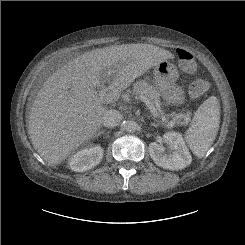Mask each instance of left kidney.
Returning <instances> with one entry per match:
<instances>
[{
	"instance_id": "1",
	"label": "left kidney",
	"mask_w": 245,
	"mask_h": 245,
	"mask_svg": "<svg viewBox=\"0 0 245 245\" xmlns=\"http://www.w3.org/2000/svg\"><path fill=\"white\" fill-rule=\"evenodd\" d=\"M165 143L172 153L165 154ZM149 154L154 163L164 169H184L192 162V157L185 145L183 137L177 132H166L161 143L152 142L149 144Z\"/></svg>"
}]
</instances>
